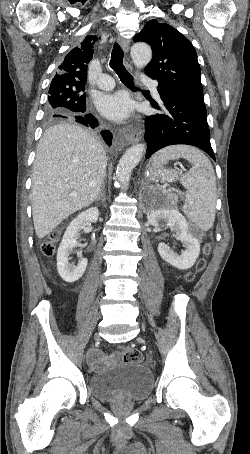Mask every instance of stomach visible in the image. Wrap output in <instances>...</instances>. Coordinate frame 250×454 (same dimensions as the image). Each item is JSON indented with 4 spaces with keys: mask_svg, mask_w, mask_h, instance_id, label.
<instances>
[{
    "mask_svg": "<svg viewBox=\"0 0 250 454\" xmlns=\"http://www.w3.org/2000/svg\"><path fill=\"white\" fill-rule=\"evenodd\" d=\"M178 173L171 170H157L152 174L153 179H160L162 181L172 182L177 179Z\"/></svg>",
    "mask_w": 250,
    "mask_h": 454,
    "instance_id": "1",
    "label": "stomach"
}]
</instances>
